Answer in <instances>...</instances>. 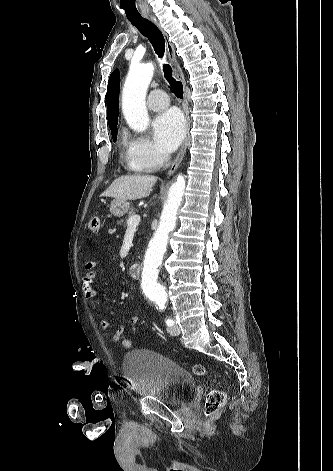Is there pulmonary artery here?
<instances>
[{"label": "pulmonary artery", "mask_w": 333, "mask_h": 471, "mask_svg": "<svg viewBox=\"0 0 333 471\" xmlns=\"http://www.w3.org/2000/svg\"><path fill=\"white\" fill-rule=\"evenodd\" d=\"M169 105V98L167 94L160 89H155L150 92L147 99V106L153 111H160Z\"/></svg>", "instance_id": "1"}]
</instances>
